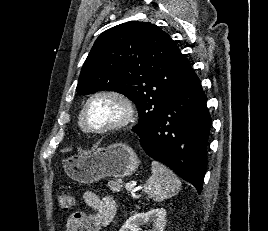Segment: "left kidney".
<instances>
[{"mask_svg":"<svg viewBox=\"0 0 268 231\" xmlns=\"http://www.w3.org/2000/svg\"><path fill=\"white\" fill-rule=\"evenodd\" d=\"M166 210L157 208L146 213H137L131 216L119 231H139L140 225L153 221L152 228L148 231H163L166 224ZM146 231V230H145Z\"/></svg>","mask_w":268,"mask_h":231,"instance_id":"1","label":"left kidney"}]
</instances>
